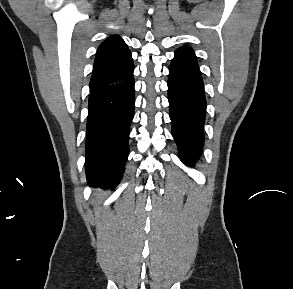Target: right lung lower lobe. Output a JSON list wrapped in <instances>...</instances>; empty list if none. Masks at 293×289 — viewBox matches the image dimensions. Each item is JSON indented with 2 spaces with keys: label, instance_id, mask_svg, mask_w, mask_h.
Returning <instances> with one entry per match:
<instances>
[{
  "label": "right lung lower lobe",
  "instance_id": "98d812e1",
  "mask_svg": "<svg viewBox=\"0 0 293 289\" xmlns=\"http://www.w3.org/2000/svg\"><path fill=\"white\" fill-rule=\"evenodd\" d=\"M134 77L90 91L85 143V168L90 186L114 188L129 153L134 116Z\"/></svg>",
  "mask_w": 293,
  "mask_h": 289
}]
</instances>
